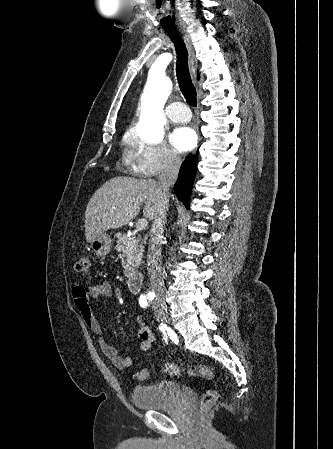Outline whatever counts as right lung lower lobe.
<instances>
[{"instance_id": "98d812e1", "label": "right lung lower lobe", "mask_w": 333, "mask_h": 449, "mask_svg": "<svg viewBox=\"0 0 333 449\" xmlns=\"http://www.w3.org/2000/svg\"><path fill=\"white\" fill-rule=\"evenodd\" d=\"M197 159V154H189L186 156L185 161L181 165L179 177L174 187L176 196L187 208H189L192 185L195 179Z\"/></svg>"}]
</instances>
